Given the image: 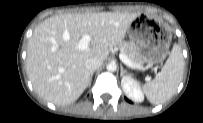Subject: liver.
Segmentation results:
<instances>
[{
	"instance_id": "6515ba94",
	"label": "liver",
	"mask_w": 203,
	"mask_h": 123,
	"mask_svg": "<svg viewBox=\"0 0 203 123\" xmlns=\"http://www.w3.org/2000/svg\"><path fill=\"white\" fill-rule=\"evenodd\" d=\"M140 13L99 12L63 14L44 20L28 41L27 75L43 99L55 105L75 102L88 87L91 72L85 61H104L111 48L122 43L127 30ZM92 40L79 50L80 39Z\"/></svg>"
}]
</instances>
